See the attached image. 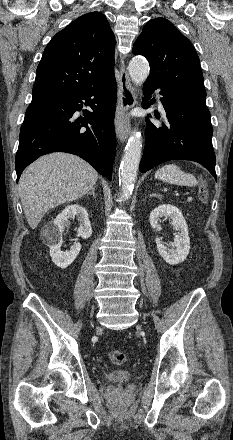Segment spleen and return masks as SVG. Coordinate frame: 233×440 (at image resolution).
Masks as SVG:
<instances>
[{"label":"spleen","instance_id":"spleen-1","mask_svg":"<svg viewBox=\"0 0 233 440\" xmlns=\"http://www.w3.org/2000/svg\"><path fill=\"white\" fill-rule=\"evenodd\" d=\"M155 177L164 182L179 186H196L197 179L190 173L183 172L176 164H166L159 168Z\"/></svg>","mask_w":233,"mask_h":440}]
</instances>
